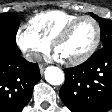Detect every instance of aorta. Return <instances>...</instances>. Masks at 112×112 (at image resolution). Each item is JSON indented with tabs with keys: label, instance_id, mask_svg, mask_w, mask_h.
<instances>
[{
	"label": "aorta",
	"instance_id": "762f6f07",
	"mask_svg": "<svg viewBox=\"0 0 112 112\" xmlns=\"http://www.w3.org/2000/svg\"><path fill=\"white\" fill-rule=\"evenodd\" d=\"M45 80L51 85H61L65 81V74L64 72L55 66H50L46 68L45 72Z\"/></svg>",
	"mask_w": 112,
	"mask_h": 112
}]
</instances>
